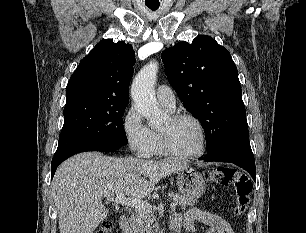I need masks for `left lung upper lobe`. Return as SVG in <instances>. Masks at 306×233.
Masks as SVG:
<instances>
[{
	"mask_svg": "<svg viewBox=\"0 0 306 233\" xmlns=\"http://www.w3.org/2000/svg\"><path fill=\"white\" fill-rule=\"evenodd\" d=\"M161 58L184 107L203 125L208 153L249 139L238 70L229 51L201 35L164 50Z\"/></svg>",
	"mask_w": 306,
	"mask_h": 233,
	"instance_id": "left-lung-upper-lobe-1",
	"label": "left lung upper lobe"
}]
</instances>
